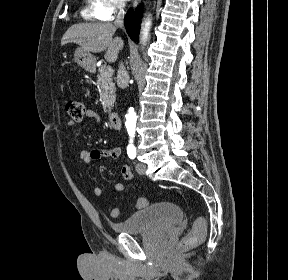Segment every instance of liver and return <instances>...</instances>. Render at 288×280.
<instances>
[{"label": "liver", "mask_w": 288, "mask_h": 280, "mask_svg": "<svg viewBox=\"0 0 288 280\" xmlns=\"http://www.w3.org/2000/svg\"><path fill=\"white\" fill-rule=\"evenodd\" d=\"M117 27L111 23H80L72 25L63 35L61 45L74 42L88 52L100 53L107 49L105 59L115 62L123 41L113 39Z\"/></svg>", "instance_id": "liver-1"}]
</instances>
